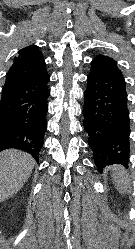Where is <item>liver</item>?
I'll list each match as a JSON object with an SVG mask.
<instances>
[{
  "label": "liver",
  "instance_id": "obj_1",
  "mask_svg": "<svg viewBox=\"0 0 135 249\" xmlns=\"http://www.w3.org/2000/svg\"><path fill=\"white\" fill-rule=\"evenodd\" d=\"M35 161L32 156L16 149L0 152V202L16 194L28 180Z\"/></svg>",
  "mask_w": 135,
  "mask_h": 249
}]
</instances>
